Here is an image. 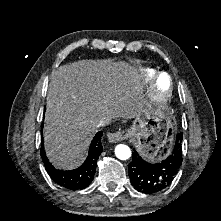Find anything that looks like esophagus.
<instances>
[{"mask_svg":"<svg viewBox=\"0 0 221 221\" xmlns=\"http://www.w3.org/2000/svg\"><path fill=\"white\" fill-rule=\"evenodd\" d=\"M129 136L124 131H116L114 133H108L107 138L111 143H117L121 140L127 139Z\"/></svg>","mask_w":221,"mask_h":221,"instance_id":"esophagus-1","label":"esophagus"}]
</instances>
